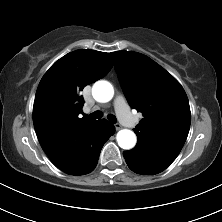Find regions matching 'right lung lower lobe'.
Instances as JSON below:
<instances>
[{"label":"right lung lower lobe","instance_id":"right-lung-lower-lobe-1","mask_svg":"<svg viewBox=\"0 0 222 222\" xmlns=\"http://www.w3.org/2000/svg\"><path fill=\"white\" fill-rule=\"evenodd\" d=\"M115 127L105 119L99 120L98 124L91 130L87 140V149L85 158L82 162L71 169L65 171L70 175L88 174L96 167L101 149L104 143L114 134Z\"/></svg>","mask_w":222,"mask_h":222}]
</instances>
